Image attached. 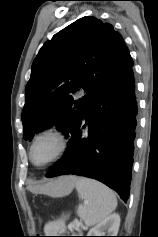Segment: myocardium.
Segmentation results:
<instances>
[{"label":"myocardium","instance_id":"1","mask_svg":"<svg viewBox=\"0 0 158 237\" xmlns=\"http://www.w3.org/2000/svg\"><path fill=\"white\" fill-rule=\"evenodd\" d=\"M53 137L54 139L57 140L58 142V150L57 152L53 155L52 158H50L48 161H46L43 164H37L34 162L33 160V149L35 144L43 137ZM68 149V139L66 137V135L59 129L57 128H48V129H44L41 132H39L38 134L35 135V137L33 138L30 148H29V159L30 162L32 163L33 166L38 167V168H44L47 167L49 165H51L52 163L56 162L57 160H59L67 151Z\"/></svg>","mask_w":158,"mask_h":237}]
</instances>
